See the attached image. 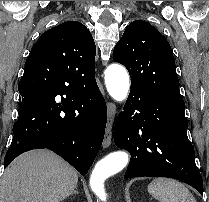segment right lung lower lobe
I'll use <instances>...</instances> for the list:
<instances>
[{
    "instance_id": "98d812e1",
    "label": "right lung lower lobe",
    "mask_w": 209,
    "mask_h": 202,
    "mask_svg": "<svg viewBox=\"0 0 209 202\" xmlns=\"http://www.w3.org/2000/svg\"><path fill=\"white\" fill-rule=\"evenodd\" d=\"M18 90L22 102L5 167L26 151L46 148L86 175L102 145L107 120L97 83L73 89L46 69H36L24 71Z\"/></svg>"
}]
</instances>
